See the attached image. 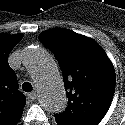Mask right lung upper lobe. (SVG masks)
Returning a JSON list of instances; mask_svg holds the SVG:
<instances>
[{
	"mask_svg": "<svg viewBox=\"0 0 125 125\" xmlns=\"http://www.w3.org/2000/svg\"><path fill=\"white\" fill-rule=\"evenodd\" d=\"M22 34L0 35V125H14L26 105L25 96L18 90L17 77L8 64V56Z\"/></svg>",
	"mask_w": 125,
	"mask_h": 125,
	"instance_id": "right-lung-upper-lobe-1",
	"label": "right lung upper lobe"
}]
</instances>
